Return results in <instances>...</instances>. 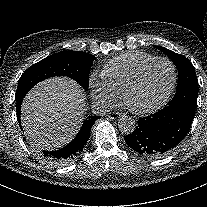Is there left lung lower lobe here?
Instances as JSON below:
<instances>
[{
    "label": "left lung lower lobe",
    "mask_w": 207,
    "mask_h": 207,
    "mask_svg": "<svg viewBox=\"0 0 207 207\" xmlns=\"http://www.w3.org/2000/svg\"><path fill=\"white\" fill-rule=\"evenodd\" d=\"M195 110L185 105H169L157 113L140 118L132 134L124 137L130 148L145 157L170 153L191 128Z\"/></svg>",
    "instance_id": "0a47b994"
}]
</instances>
